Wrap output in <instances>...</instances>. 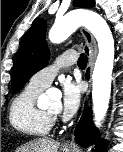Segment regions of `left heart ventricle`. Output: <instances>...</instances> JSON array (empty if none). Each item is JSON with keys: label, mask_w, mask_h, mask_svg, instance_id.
<instances>
[{"label": "left heart ventricle", "mask_w": 123, "mask_h": 152, "mask_svg": "<svg viewBox=\"0 0 123 152\" xmlns=\"http://www.w3.org/2000/svg\"><path fill=\"white\" fill-rule=\"evenodd\" d=\"M61 103L59 101H55L51 104V106L48 108V112L58 114L60 111Z\"/></svg>", "instance_id": "obj_1"}]
</instances>
